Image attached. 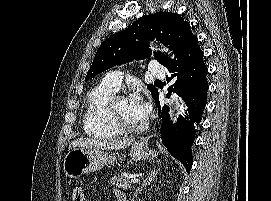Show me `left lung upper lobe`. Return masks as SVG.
I'll use <instances>...</instances> for the list:
<instances>
[{
	"instance_id": "1",
	"label": "left lung upper lobe",
	"mask_w": 271,
	"mask_h": 201,
	"mask_svg": "<svg viewBox=\"0 0 271 201\" xmlns=\"http://www.w3.org/2000/svg\"><path fill=\"white\" fill-rule=\"evenodd\" d=\"M195 37L189 23L177 13L160 12L143 16L129 28L110 36L102 43L85 80L113 66L150 56L148 43L154 39L175 51L181 43L190 42ZM155 59L164 66L171 61L161 53H155ZM148 89L152 95L157 92L152 85H148Z\"/></svg>"
}]
</instances>
